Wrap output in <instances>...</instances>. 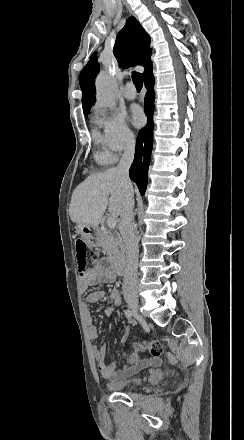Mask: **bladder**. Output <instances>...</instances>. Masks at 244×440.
<instances>
[{"instance_id": "1", "label": "bladder", "mask_w": 244, "mask_h": 440, "mask_svg": "<svg viewBox=\"0 0 244 440\" xmlns=\"http://www.w3.org/2000/svg\"><path fill=\"white\" fill-rule=\"evenodd\" d=\"M143 381V377H133L122 383L109 381L107 382V386L113 392H126L136 388Z\"/></svg>"}]
</instances>
